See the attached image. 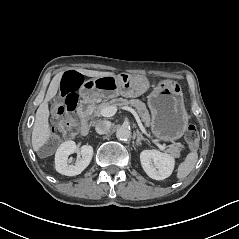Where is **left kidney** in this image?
Here are the masks:
<instances>
[{
    "label": "left kidney",
    "mask_w": 239,
    "mask_h": 239,
    "mask_svg": "<svg viewBox=\"0 0 239 239\" xmlns=\"http://www.w3.org/2000/svg\"><path fill=\"white\" fill-rule=\"evenodd\" d=\"M140 161L147 175L155 180H162L170 176L174 167L173 158L158 151H143Z\"/></svg>",
    "instance_id": "left-kidney-1"
}]
</instances>
